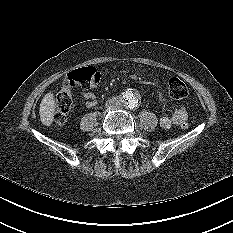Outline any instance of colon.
I'll list each match as a JSON object with an SVG mask.
<instances>
[{
    "instance_id": "obj_1",
    "label": "colon",
    "mask_w": 233,
    "mask_h": 233,
    "mask_svg": "<svg viewBox=\"0 0 233 233\" xmlns=\"http://www.w3.org/2000/svg\"><path fill=\"white\" fill-rule=\"evenodd\" d=\"M104 71L98 70L93 66L76 69L68 73L63 81L61 90L56 95V110L54 121L58 125H63L73 107V90L77 87L94 88L102 79ZM168 95L173 99H184L188 95L186 84L175 76L167 78ZM181 129L189 128V123L183 121L180 124Z\"/></svg>"
}]
</instances>
